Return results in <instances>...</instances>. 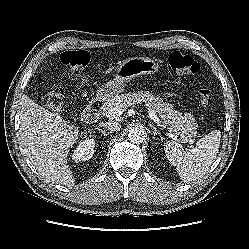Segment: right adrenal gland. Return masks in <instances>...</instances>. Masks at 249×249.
<instances>
[{
  "label": "right adrenal gland",
  "instance_id": "1",
  "mask_svg": "<svg viewBox=\"0 0 249 249\" xmlns=\"http://www.w3.org/2000/svg\"><path fill=\"white\" fill-rule=\"evenodd\" d=\"M99 132H101L104 136H107L109 134H111V132H106L105 130H102L100 128H96Z\"/></svg>",
  "mask_w": 249,
  "mask_h": 249
}]
</instances>
